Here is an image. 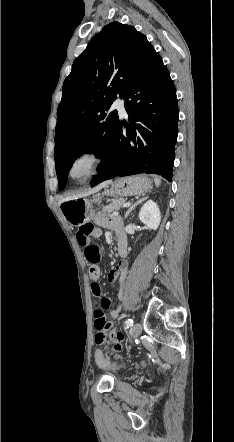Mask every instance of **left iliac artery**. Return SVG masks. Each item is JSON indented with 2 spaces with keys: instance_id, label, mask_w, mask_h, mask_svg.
<instances>
[{
  "instance_id": "obj_1",
  "label": "left iliac artery",
  "mask_w": 234,
  "mask_h": 442,
  "mask_svg": "<svg viewBox=\"0 0 234 442\" xmlns=\"http://www.w3.org/2000/svg\"><path fill=\"white\" fill-rule=\"evenodd\" d=\"M133 325V320L132 319H127L126 320V322H125V327L126 328H129V327H131Z\"/></svg>"
}]
</instances>
